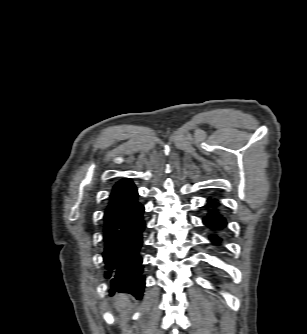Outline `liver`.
<instances>
[{
    "label": "liver",
    "mask_w": 307,
    "mask_h": 334,
    "mask_svg": "<svg viewBox=\"0 0 307 334\" xmlns=\"http://www.w3.org/2000/svg\"><path fill=\"white\" fill-rule=\"evenodd\" d=\"M127 302H128V299H127L126 295L121 294V295H119V298L116 301V307L117 308L125 307Z\"/></svg>",
    "instance_id": "1"
}]
</instances>
